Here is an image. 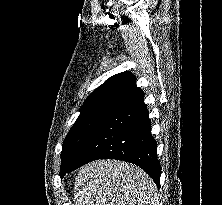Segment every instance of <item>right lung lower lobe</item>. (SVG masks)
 <instances>
[{"mask_svg":"<svg viewBox=\"0 0 222 205\" xmlns=\"http://www.w3.org/2000/svg\"><path fill=\"white\" fill-rule=\"evenodd\" d=\"M157 144L152 138L149 111L140 89L106 113L77 152L70 166L71 172L97 159H117L141 167L160 185L161 165L157 158Z\"/></svg>","mask_w":222,"mask_h":205,"instance_id":"right-lung-lower-lobe-1","label":"right lung lower lobe"}]
</instances>
